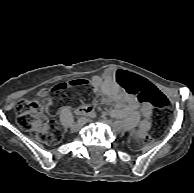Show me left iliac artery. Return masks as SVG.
Segmentation results:
<instances>
[{
    "instance_id": "44dca946",
    "label": "left iliac artery",
    "mask_w": 194,
    "mask_h": 193,
    "mask_svg": "<svg viewBox=\"0 0 194 193\" xmlns=\"http://www.w3.org/2000/svg\"><path fill=\"white\" fill-rule=\"evenodd\" d=\"M117 123H119L121 125L122 124V121H117Z\"/></svg>"
}]
</instances>
